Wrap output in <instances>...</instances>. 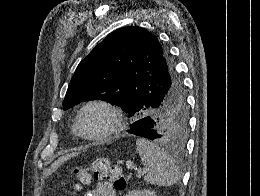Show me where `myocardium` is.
Returning a JSON list of instances; mask_svg holds the SVG:
<instances>
[{
    "instance_id": "myocardium-1",
    "label": "myocardium",
    "mask_w": 260,
    "mask_h": 196,
    "mask_svg": "<svg viewBox=\"0 0 260 196\" xmlns=\"http://www.w3.org/2000/svg\"><path fill=\"white\" fill-rule=\"evenodd\" d=\"M94 105H101L107 108L113 114L114 123L109 129H107L101 134L87 135L83 133L82 130L80 129L79 121L83 112L89 107ZM123 126H124V116L121 109L118 106H116L115 104H113L112 102L106 99H93L86 102L77 111L74 119L73 130L81 139L92 143H99L109 139L110 137L118 133L123 128Z\"/></svg>"
}]
</instances>
